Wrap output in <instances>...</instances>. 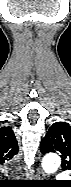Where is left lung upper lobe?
<instances>
[{"instance_id":"1","label":"left lung upper lobe","mask_w":71,"mask_h":187,"mask_svg":"<svg viewBox=\"0 0 71 187\" xmlns=\"http://www.w3.org/2000/svg\"><path fill=\"white\" fill-rule=\"evenodd\" d=\"M40 151L42 154L59 153L62 169L71 171V126L66 122L54 123L42 139Z\"/></svg>"}]
</instances>
